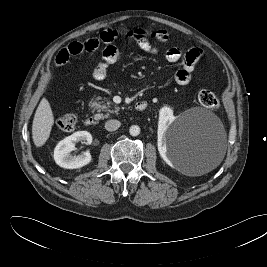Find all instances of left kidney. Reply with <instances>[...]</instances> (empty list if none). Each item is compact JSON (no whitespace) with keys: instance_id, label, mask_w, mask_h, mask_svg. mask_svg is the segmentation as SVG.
I'll list each match as a JSON object with an SVG mask.
<instances>
[{"instance_id":"left-kidney-1","label":"left kidney","mask_w":267,"mask_h":267,"mask_svg":"<svg viewBox=\"0 0 267 267\" xmlns=\"http://www.w3.org/2000/svg\"><path fill=\"white\" fill-rule=\"evenodd\" d=\"M175 119L171 108L164 106L159 110L158 135L160 139L158 140V151L161 158L170 166H173V161L167 152L166 142L162 138Z\"/></svg>"}]
</instances>
